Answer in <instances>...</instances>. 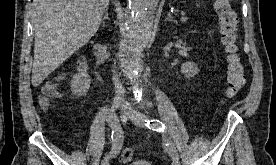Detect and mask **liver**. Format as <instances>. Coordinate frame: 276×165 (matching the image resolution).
<instances>
[{
  "label": "liver",
  "instance_id": "liver-1",
  "mask_svg": "<svg viewBox=\"0 0 276 165\" xmlns=\"http://www.w3.org/2000/svg\"><path fill=\"white\" fill-rule=\"evenodd\" d=\"M109 0H34L32 85L39 86L97 32Z\"/></svg>",
  "mask_w": 276,
  "mask_h": 165
}]
</instances>
